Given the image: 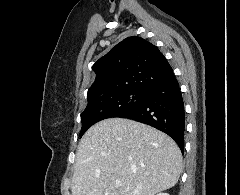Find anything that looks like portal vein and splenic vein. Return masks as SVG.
Wrapping results in <instances>:
<instances>
[{
	"mask_svg": "<svg viewBox=\"0 0 240 195\" xmlns=\"http://www.w3.org/2000/svg\"><path fill=\"white\" fill-rule=\"evenodd\" d=\"M116 185L117 187H120V185H122L121 181H116ZM132 193H136V191H132Z\"/></svg>",
	"mask_w": 240,
	"mask_h": 195,
	"instance_id": "1",
	"label": "portal vein and splenic vein"
}]
</instances>
